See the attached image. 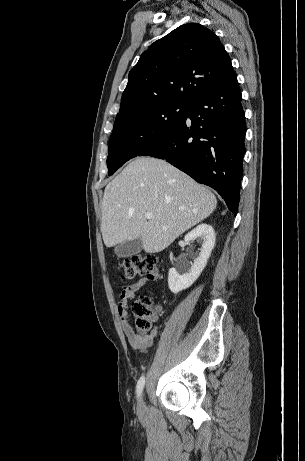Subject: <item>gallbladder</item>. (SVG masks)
<instances>
[{"label":"gallbladder","instance_id":"1","mask_svg":"<svg viewBox=\"0 0 305 461\" xmlns=\"http://www.w3.org/2000/svg\"><path fill=\"white\" fill-rule=\"evenodd\" d=\"M143 248L141 238H137L126 243L120 244L115 248V254L118 257H130L138 254Z\"/></svg>","mask_w":305,"mask_h":461}]
</instances>
